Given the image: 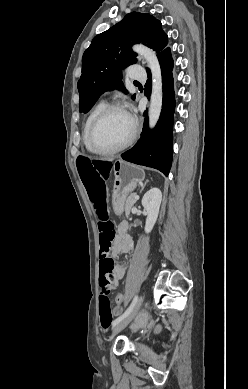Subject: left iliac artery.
Listing matches in <instances>:
<instances>
[{
	"label": "left iliac artery",
	"mask_w": 248,
	"mask_h": 389,
	"mask_svg": "<svg viewBox=\"0 0 248 389\" xmlns=\"http://www.w3.org/2000/svg\"><path fill=\"white\" fill-rule=\"evenodd\" d=\"M138 301V296L136 295L134 298H133V301L132 303L130 304V306L128 307V309L124 312V314H122L120 317H118L117 319H115L113 321V326H116L118 323H120L125 317H127L130 312L132 311L133 307L135 306V304L137 303Z\"/></svg>",
	"instance_id": "obj_1"
}]
</instances>
